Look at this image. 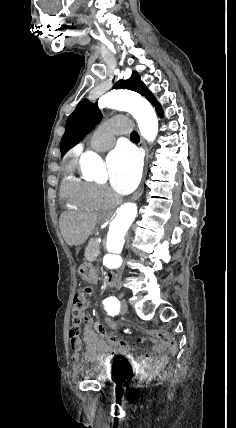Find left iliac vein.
I'll return each mask as SVG.
<instances>
[{
	"instance_id": "left-iliac-vein-1",
	"label": "left iliac vein",
	"mask_w": 236,
	"mask_h": 428,
	"mask_svg": "<svg viewBox=\"0 0 236 428\" xmlns=\"http://www.w3.org/2000/svg\"><path fill=\"white\" fill-rule=\"evenodd\" d=\"M121 306H122V310L123 311H128L129 310V305L127 304V300L125 298L121 299Z\"/></svg>"
}]
</instances>
